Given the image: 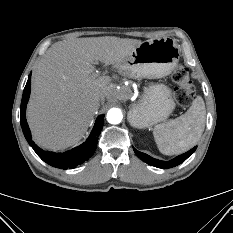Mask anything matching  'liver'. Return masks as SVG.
Returning a JSON list of instances; mask_svg holds the SVG:
<instances>
[{"label": "liver", "mask_w": 233, "mask_h": 233, "mask_svg": "<svg viewBox=\"0 0 233 233\" xmlns=\"http://www.w3.org/2000/svg\"><path fill=\"white\" fill-rule=\"evenodd\" d=\"M142 41L115 36L68 39L54 43L37 64L27 121L35 142L62 150L79 142L110 93L109 76L94 77L97 61L121 62Z\"/></svg>", "instance_id": "obj_1"}]
</instances>
